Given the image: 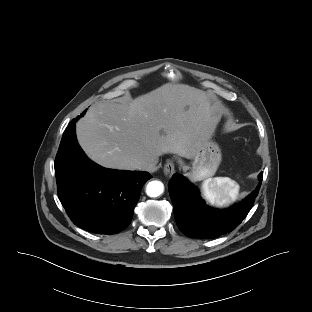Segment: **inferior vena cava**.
I'll use <instances>...</instances> for the list:
<instances>
[{
	"instance_id": "1",
	"label": "inferior vena cava",
	"mask_w": 312,
	"mask_h": 312,
	"mask_svg": "<svg viewBox=\"0 0 312 312\" xmlns=\"http://www.w3.org/2000/svg\"><path fill=\"white\" fill-rule=\"evenodd\" d=\"M157 160L155 159H146L141 162L139 170L154 172L157 170Z\"/></svg>"
}]
</instances>
